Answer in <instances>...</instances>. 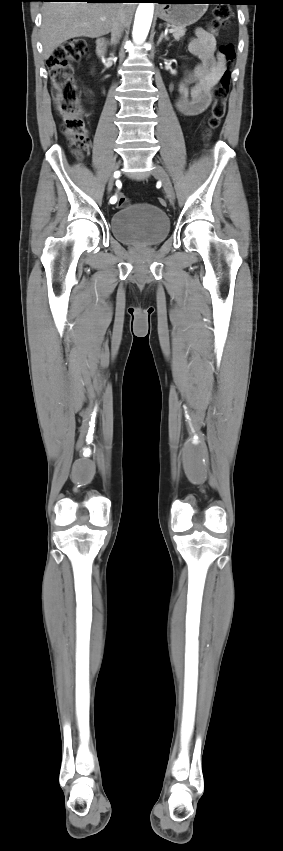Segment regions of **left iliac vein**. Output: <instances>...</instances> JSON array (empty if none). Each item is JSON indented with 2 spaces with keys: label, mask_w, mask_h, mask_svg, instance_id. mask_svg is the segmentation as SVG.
Masks as SVG:
<instances>
[{
  "label": "left iliac vein",
  "mask_w": 283,
  "mask_h": 851,
  "mask_svg": "<svg viewBox=\"0 0 283 851\" xmlns=\"http://www.w3.org/2000/svg\"><path fill=\"white\" fill-rule=\"evenodd\" d=\"M152 174L162 183L163 189L170 199L171 204H174V190L170 178L166 171L158 164L154 165Z\"/></svg>",
  "instance_id": "1"
}]
</instances>
